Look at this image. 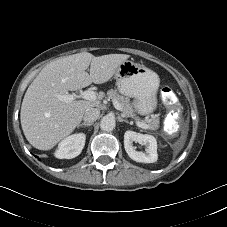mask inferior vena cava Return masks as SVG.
<instances>
[{"label":"inferior vena cava","instance_id":"inferior-vena-cava-1","mask_svg":"<svg viewBox=\"0 0 227 227\" xmlns=\"http://www.w3.org/2000/svg\"><path fill=\"white\" fill-rule=\"evenodd\" d=\"M100 111L97 108H89L85 111L83 120L85 123H93L99 118Z\"/></svg>","mask_w":227,"mask_h":227}]
</instances>
